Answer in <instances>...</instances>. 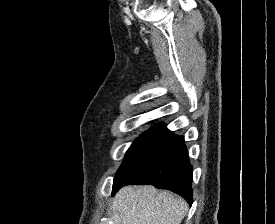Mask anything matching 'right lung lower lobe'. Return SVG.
<instances>
[{"label": "right lung lower lobe", "instance_id": "1", "mask_svg": "<svg viewBox=\"0 0 275 224\" xmlns=\"http://www.w3.org/2000/svg\"><path fill=\"white\" fill-rule=\"evenodd\" d=\"M192 166L183 136L155 126L114 178L112 196L129 184H150L182 196L190 205Z\"/></svg>", "mask_w": 275, "mask_h": 224}]
</instances>
